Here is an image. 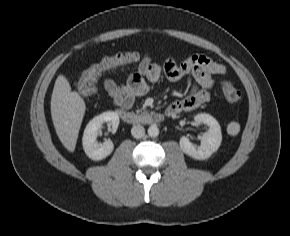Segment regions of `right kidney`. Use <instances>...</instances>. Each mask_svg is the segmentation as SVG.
Here are the masks:
<instances>
[{
  "instance_id": "ca27d5eb",
  "label": "right kidney",
  "mask_w": 290,
  "mask_h": 236,
  "mask_svg": "<svg viewBox=\"0 0 290 236\" xmlns=\"http://www.w3.org/2000/svg\"><path fill=\"white\" fill-rule=\"evenodd\" d=\"M107 122L111 126V131L116 132L119 125V116L116 112L107 111L98 116H95L87 124L82 145L86 155L95 161H100L109 156L114 150V144L111 140H106L103 143L97 141L98 130L103 123Z\"/></svg>"
}]
</instances>
